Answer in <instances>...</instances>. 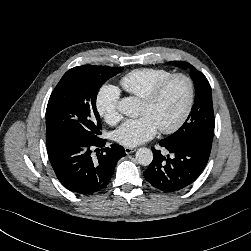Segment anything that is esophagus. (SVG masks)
I'll use <instances>...</instances> for the list:
<instances>
[{
    "instance_id": "esophagus-1",
    "label": "esophagus",
    "mask_w": 251,
    "mask_h": 251,
    "mask_svg": "<svg viewBox=\"0 0 251 251\" xmlns=\"http://www.w3.org/2000/svg\"><path fill=\"white\" fill-rule=\"evenodd\" d=\"M124 150H125V153H126V154H131V153H133V152L136 151L135 148H131V147H125Z\"/></svg>"
}]
</instances>
